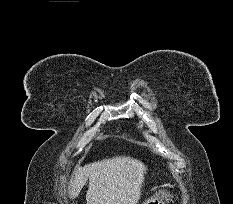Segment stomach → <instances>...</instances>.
<instances>
[{"instance_id":"1","label":"stomach","mask_w":233,"mask_h":204,"mask_svg":"<svg viewBox=\"0 0 233 204\" xmlns=\"http://www.w3.org/2000/svg\"><path fill=\"white\" fill-rule=\"evenodd\" d=\"M171 194L164 188H159L153 196L147 198L143 204H166L171 201Z\"/></svg>"}]
</instances>
